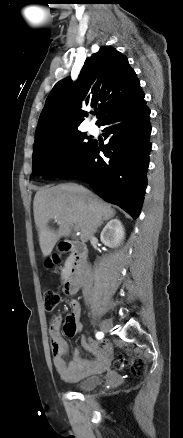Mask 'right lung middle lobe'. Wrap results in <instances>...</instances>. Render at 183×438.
Returning a JSON list of instances; mask_svg holds the SVG:
<instances>
[{"label":"right lung middle lobe","mask_w":183,"mask_h":438,"mask_svg":"<svg viewBox=\"0 0 183 438\" xmlns=\"http://www.w3.org/2000/svg\"><path fill=\"white\" fill-rule=\"evenodd\" d=\"M86 133L73 129L35 140L32 156L34 175L50 179L71 164L92 141L85 142Z\"/></svg>","instance_id":"obj_1"}]
</instances>
